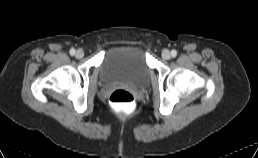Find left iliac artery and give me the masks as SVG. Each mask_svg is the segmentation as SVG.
<instances>
[{
    "label": "left iliac artery",
    "mask_w": 258,
    "mask_h": 158,
    "mask_svg": "<svg viewBox=\"0 0 258 158\" xmlns=\"http://www.w3.org/2000/svg\"><path fill=\"white\" fill-rule=\"evenodd\" d=\"M171 56L172 57H176L177 56V51L176 50H172L171 51Z\"/></svg>",
    "instance_id": "44dca946"
}]
</instances>
